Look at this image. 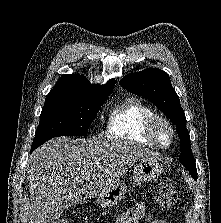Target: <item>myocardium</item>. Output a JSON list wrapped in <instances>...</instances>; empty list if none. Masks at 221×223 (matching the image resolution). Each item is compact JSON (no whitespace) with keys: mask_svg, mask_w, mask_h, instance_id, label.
<instances>
[{"mask_svg":"<svg viewBox=\"0 0 221 223\" xmlns=\"http://www.w3.org/2000/svg\"><path fill=\"white\" fill-rule=\"evenodd\" d=\"M160 125L166 127L170 133V141L167 144L162 143L157 137V127ZM144 135L155 147L167 149L174 143L176 132L171 121L167 117L153 114L145 124Z\"/></svg>","mask_w":221,"mask_h":223,"instance_id":"f54148a6","label":"myocardium"}]
</instances>
